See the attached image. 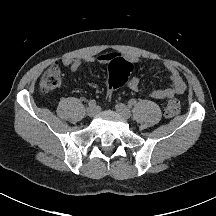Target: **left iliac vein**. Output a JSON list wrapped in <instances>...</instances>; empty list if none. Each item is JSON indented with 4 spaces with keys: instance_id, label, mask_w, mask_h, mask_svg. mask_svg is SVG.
I'll list each match as a JSON object with an SVG mask.
<instances>
[{
    "instance_id": "obj_1",
    "label": "left iliac vein",
    "mask_w": 216,
    "mask_h": 216,
    "mask_svg": "<svg viewBox=\"0 0 216 216\" xmlns=\"http://www.w3.org/2000/svg\"><path fill=\"white\" fill-rule=\"evenodd\" d=\"M116 111L124 118L129 119L131 117V111L128 106L123 103H118L115 106Z\"/></svg>"
}]
</instances>
